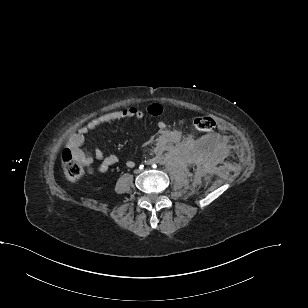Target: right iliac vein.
<instances>
[{"label":"right iliac vein","instance_id":"1","mask_svg":"<svg viewBox=\"0 0 308 308\" xmlns=\"http://www.w3.org/2000/svg\"><path fill=\"white\" fill-rule=\"evenodd\" d=\"M140 172H141V171H140L139 169H135V170H134V173H135V174H139Z\"/></svg>","mask_w":308,"mask_h":308}]
</instances>
